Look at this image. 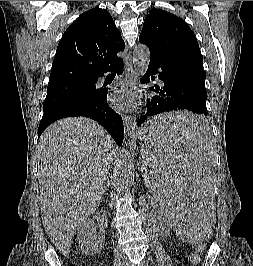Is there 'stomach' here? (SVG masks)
Segmentation results:
<instances>
[{
  "instance_id": "obj_1",
  "label": "stomach",
  "mask_w": 253,
  "mask_h": 266,
  "mask_svg": "<svg viewBox=\"0 0 253 266\" xmlns=\"http://www.w3.org/2000/svg\"><path fill=\"white\" fill-rule=\"evenodd\" d=\"M148 138H155V135L152 132H146V126H145L138 133V139H139L141 145L143 146L144 152H145V150H147Z\"/></svg>"
}]
</instances>
